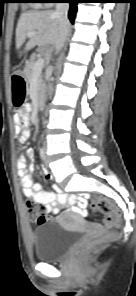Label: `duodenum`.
Wrapping results in <instances>:
<instances>
[{
    "instance_id": "duodenum-1",
    "label": "duodenum",
    "mask_w": 136,
    "mask_h": 296,
    "mask_svg": "<svg viewBox=\"0 0 136 296\" xmlns=\"http://www.w3.org/2000/svg\"><path fill=\"white\" fill-rule=\"evenodd\" d=\"M17 74H21V71L18 70V71H17ZM41 104H42V100L39 98V99L37 100V105L40 106Z\"/></svg>"
}]
</instances>
